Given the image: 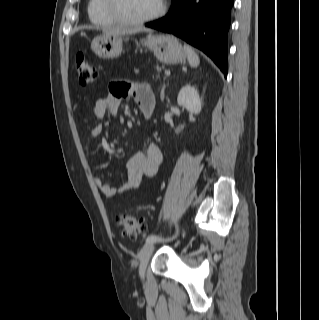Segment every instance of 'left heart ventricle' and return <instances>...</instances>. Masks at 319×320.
<instances>
[{
    "instance_id": "left-heart-ventricle-1",
    "label": "left heart ventricle",
    "mask_w": 319,
    "mask_h": 320,
    "mask_svg": "<svg viewBox=\"0 0 319 320\" xmlns=\"http://www.w3.org/2000/svg\"><path fill=\"white\" fill-rule=\"evenodd\" d=\"M118 11L129 18H142L154 13L161 0H116Z\"/></svg>"
}]
</instances>
